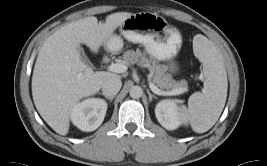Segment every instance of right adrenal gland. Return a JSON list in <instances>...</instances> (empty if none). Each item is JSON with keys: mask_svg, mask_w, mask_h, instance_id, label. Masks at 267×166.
Segmentation results:
<instances>
[{"mask_svg": "<svg viewBox=\"0 0 267 166\" xmlns=\"http://www.w3.org/2000/svg\"><path fill=\"white\" fill-rule=\"evenodd\" d=\"M101 95H103L106 99H108L110 102H112V100L114 99L115 96H107V95H104L103 93H99Z\"/></svg>", "mask_w": 267, "mask_h": 166, "instance_id": "2a0ac1e0", "label": "right adrenal gland"}]
</instances>
